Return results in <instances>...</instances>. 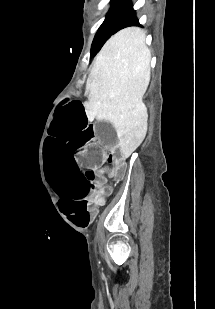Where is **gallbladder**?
I'll return each mask as SVG.
<instances>
[{"instance_id": "gallbladder-1", "label": "gallbladder", "mask_w": 215, "mask_h": 309, "mask_svg": "<svg viewBox=\"0 0 215 309\" xmlns=\"http://www.w3.org/2000/svg\"><path fill=\"white\" fill-rule=\"evenodd\" d=\"M93 130L96 136H101L103 144H109V146L115 144V140L118 138L116 129L113 125H108L107 121H100L99 125H94Z\"/></svg>"}]
</instances>
